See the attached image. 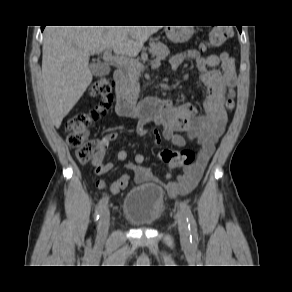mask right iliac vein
<instances>
[{
	"label": "right iliac vein",
	"instance_id": "1",
	"mask_svg": "<svg viewBox=\"0 0 292 292\" xmlns=\"http://www.w3.org/2000/svg\"><path fill=\"white\" fill-rule=\"evenodd\" d=\"M110 211L109 208H105L101 213L99 226H98V239L102 240L106 237L109 229Z\"/></svg>",
	"mask_w": 292,
	"mask_h": 292
}]
</instances>
